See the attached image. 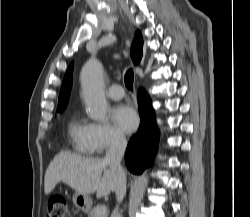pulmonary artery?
<instances>
[{"mask_svg":"<svg viewBox=\"0 0 250 217\" xmlns=\"http://www.w3.org/2000/svg\"><path fill=\"white\" fill-rule=\"evenodd\" d=\"M106 94L113 100H119L124 97L125 92L119 84H113L107 89Z\"/></svg>","mask_w":250,"mask_h":217,"instance_id":"obj_1","label":"pulmonary artery"}]
</instances>
